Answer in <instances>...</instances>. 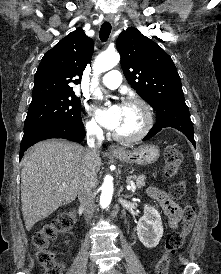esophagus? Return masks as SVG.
Segmentation results:
<instances>
[{
	"instance_id": "1",
	"label": "esophagus",
	"mask_w": 221,
	"mask_h": 274,
	"mask_svg": "<svg viewBox=\"0 0 221 274\" xmlns=\"http://www.w3.org/2000/svg\"><path fill=\"white\" fill-rule=\"evenodd\" d=\"M105 19H106V21H108V22H112V21L114 20V16H113V15H107V16L105 17ZM108 151H109L110 153L116 154V153H120L122 150H121L120 147H118L117 145H110V146L108 147Z\"/></svg>"
}]
</instances>
